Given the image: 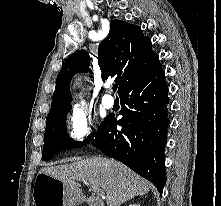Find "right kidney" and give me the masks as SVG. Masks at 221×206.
Returning <instances> with one entry per match:
<instances>
[{"label":"right kidney","mask_w":221,"mask_h":206,"mask_svg":"<svg viewBox=\"0 0 221 206\" xmlns=\"http://www.w3.org/2000/svg\"><path fill=\"white\" fill-rule=\"evenodd\" d=\"M128 206H140V205H138V204H130Z\"/></svg>","instance_id":"1"}]
</instances>
